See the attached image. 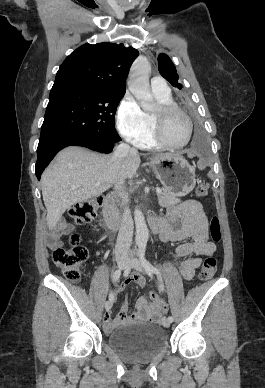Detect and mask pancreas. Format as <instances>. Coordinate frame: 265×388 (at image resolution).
<instances>
[{"instance_id":"cf45deb5","label":"pancreas","mask_w":265,"mask_h":388,"mask_svg":"<svg viewBox=\"0 0 265 388\" xmlns=\"http://www.w3.org/2000/svg\"><path fill=\"white\" fill-rule=\"evenodd\" d=\"M159 206L162 208H167V206H172V204H179V198H176L175 194H170V192H162L160 196H158Z\"/></svg>"}]
</instances>
